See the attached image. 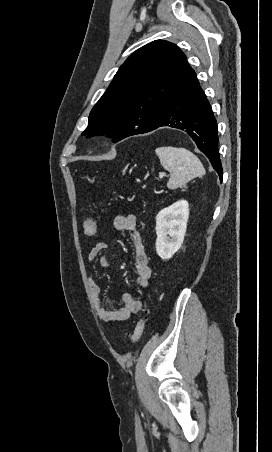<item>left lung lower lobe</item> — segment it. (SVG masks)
Returning a JSON list of instances; mask_svg holds the SVG:
<instances>
[{"label": "left lung lower lobe", "mask_w": 272, "mask_h": 452, "mask_svg": "<svg viewBox=\"0 0 272 452\" xmlns=\"http://www.w3.org/2000/svg\"><path fill=\"white\" fill-rule=\"evenodd\" d=\"M162 126L184 130L194 140L198 149L208 157L222 181L216 119L193 69L165 102L158 120L149 128L134 132L130 136Z\"/></svg>", "instance_id": "obj_1"}]
</instances>
